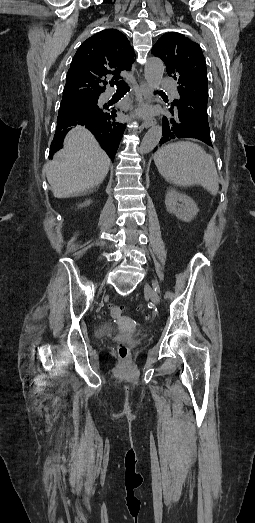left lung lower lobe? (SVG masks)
<instances>
[{
  "label": "left lung lower lobe",
  "mask_w": 255,
  "mask_h": 523,
  "mask_svg": "<svg viewBox=\"0 0 255 523\" xmlns=\"http://www.w3.org/2000/svg\"><path fill=\"white\" fill-rule=\"evenodd\" d=\"M182 110L166 111L163 116V133L158 141V148H163L165 144H169V140L173 137H196V140H201L203 144L209 146L211 144L210 129L205 125H200L197 121H189L192 115H180Z\"/></svg>",
  "instance_id": "obj_1"
}]
</instances>
